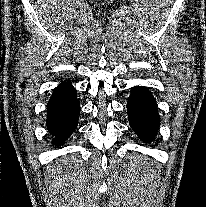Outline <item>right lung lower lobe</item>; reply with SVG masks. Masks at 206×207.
I'll return each mask as SVG.
<instances>
[{"label": "right lung lower lobe", "instance_id": "right-lung-lower-lobe-1", "mask_svg": "<svg viewBox=\"0 0 206 207\" xmlns=\"http://www.w3.org/2000/svg\"><path fill=\"white\" fill-rule=\"evenodd\" d=\"M47 112V130L53 136V143L59 145L76 129L80 112L76 91L70 83L62 82L54 89Z\"/></svg>", "mask_w": 206, "mask_h": 207}]
</instances>
